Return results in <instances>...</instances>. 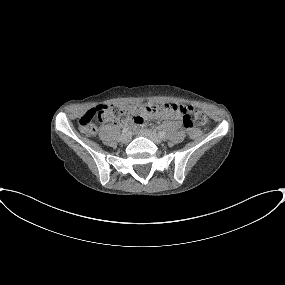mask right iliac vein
<instances>
[{"instance_id":"right-iliac-vein-1","label":"right iliac vein","mask_w":285,"mask_h":285,"mask_svg":"<svg viewBox=\"0 0 285 285\" xmlns=\"http://www.w3.org/2000/svg\"><path fill=\"white\" fill-rule=\"evenodd\" d=\"M131 140V136L130 134L128 133H124L122 136H121V141L122 143L126 144V143H129Z\"/></svg>"}]
</instances>
